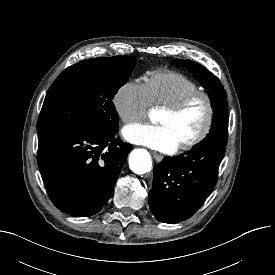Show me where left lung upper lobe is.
<instances>
[{"mask_svg":"<svg viewBox=\"0 0 275 275\" xmlns=\"http://www.w3.org/2000/svg\"><path fill=\"white\" fill-rule=\"evenodd\" d=\"M173 63L177 67H186L202 86L209 90V97L214 109L212 127L206 138L199 144L218 143L226 146L228 132L227 94L220 80L205 67L194 61L175 59Z\"/></svg>","mask_w":275,"mask_h":275,"instance_id":"left-lung-upper-lobe-1","label":"left lung upper lobe"}]
</instances>
